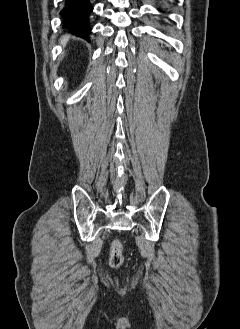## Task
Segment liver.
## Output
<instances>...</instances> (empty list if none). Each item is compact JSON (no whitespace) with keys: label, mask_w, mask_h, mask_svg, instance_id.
<instances>
[{"label":"liver","mask_w":240,"mask_h":329,"mask_svg":"<svg viewBox=\"0 0 240 329\" xmlns=\"http://www.w3.org/2000/svg\"><path fill=\"white\" fill-rule=\"evenodd\" d=\"M68 39H69V36H63V37L60 39L61 44L64 45V44L68 41Z\"/></svg>","instance_id":"liver-1"}]
</instances>
